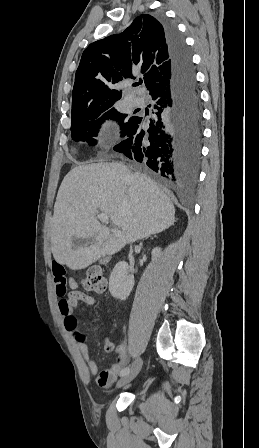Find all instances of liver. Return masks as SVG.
Instances as JSON below:
<instances>
[{
  "instance_id": "1",
  "label": "liver",
  "mask_w": 259,
  "mask_h": 448,
  "mask_svg": "<svg viewBox=\"0 0 259 448\" xmlns=\"http://www.w3.org/2000/svg\"><path fill=\"white\" fill-rule=\"evenodd\" d=\"M108 214L121 234H111L96 212ZM175 208L146 174L132 172L122 162H100L73 168L65 176L50 222L52 254L70 270H84L102 256H113L126 244L159 234L173 226ZM75 238H95L89 248L73 250Z\"/></svg>"
}]
</instances>
